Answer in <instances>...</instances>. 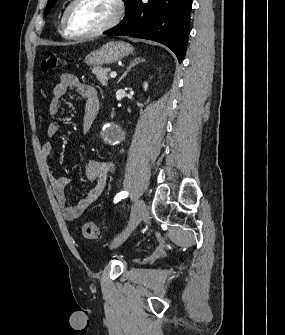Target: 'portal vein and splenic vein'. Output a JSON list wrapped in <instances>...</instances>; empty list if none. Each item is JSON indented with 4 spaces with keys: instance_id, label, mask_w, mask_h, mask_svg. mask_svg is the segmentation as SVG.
I'll return each mask as SVG.
<instances>
[{
    "instance_id": "obj_1",
    "label": "portal vein and splenic vein",
    "mask_w": 285,
    "mask_h": 335,
    "mask_svg": "<svg viewBox=\"0 0 285 335\" xmlns=\"http://www.w3.org/2000/svg\"><path fill=\"white\" fill-rule=\"evenodd\" d=\"M116 76H117L116 72H111L110 78H116Z\"/></svg>"
}]
</instances>
